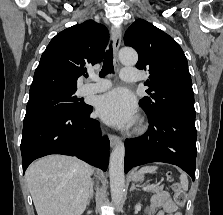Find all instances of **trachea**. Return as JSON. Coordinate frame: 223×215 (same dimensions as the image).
<instances>
[{
	"mask_svg": "<svg viewBox=\"0 0 223 215\" xmlns=\"http://www.w3.org/2000/svg\"><path fill=\"white\" fill-rule=\"evenodd\" d=\"M114 66H113V49L112 45L109 46V50L106 51L105 58L103 61V67L101 72L99 73L100 77H105L107 73H113Z\"/></svg>",
	"mask_w": 223,
	"mask_h": 215,
	"instance_id": "trachea-1",
	"label": "trachea"
}]
</instances>
